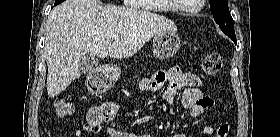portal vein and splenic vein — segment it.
Here are the masks:
<instances>
[{"instance_id": "obj_1", "label": "portal vein and splenic vein", "mask_w": 280, "mask_h": 137, "mask_svg": "<svg viewBox=\"0 0 280 137\" xmlns=\"http://www.w3.org/2000/svg\"><path fill=\"white\" fill-rule=\"evenodd\" d=\"M112 39H114V40L119 39V35H113V36H112Z\"/></svg>"}]
</instances>
